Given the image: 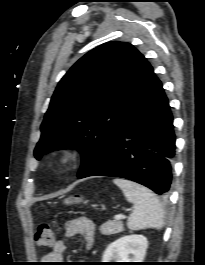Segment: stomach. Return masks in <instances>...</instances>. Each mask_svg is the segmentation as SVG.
Instances as JSON below:
<instances>
[{
    "instance_id": "stomach-1",
    "label": "stomach",
    "mask_w": 205,
    "mask_h": 265,
    "mask_svg": "<svg viewBox=\"0 0 205 265\" xmlns=\"http://www.w3.org/2000/svg\"><path fill=\"white\" fill-rule=\"evenodd\" d=\"M72 202H73V200H72L71 198H68V199L65 200V203H66V204H70V203H72Z\"/></svg>"
}]
</instances>
